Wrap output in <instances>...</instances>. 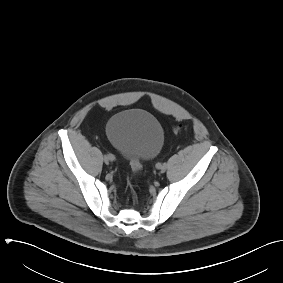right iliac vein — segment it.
Masks as SVG:
<instances>
[{
    "instance_id": "right-iliac-vein-1",
    "label": "right iliac vein",
    "mask_w": 283,
    "mask_h": 283,
    "mask_svg": "<svg viewBox=\"0 0 283 283\" xmlns=\"http://www.w3.org/2000/svg\"><path fill=\"white\" fill-rule=\"evenodd\" d=\"M110 161H112V160H111V156H110V155H105V156H104V162H105L106 164H109Z\"/></svg>"
}]
</instances>
